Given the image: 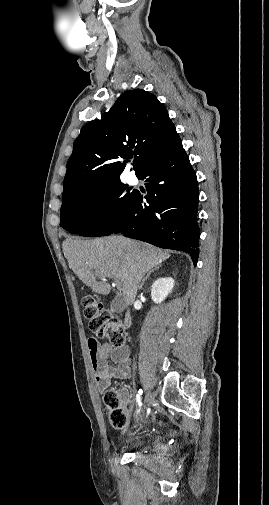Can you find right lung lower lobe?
I'll return each mask as SVG.
<instances>
[{
  "mask_svg": "<svg viewBox=\"0 0 269 505\" xmlns=\"http://www.w3.org/2000/svg\"><path fill=\"white\" fill-rule=\"evenodd\" d=\"M146 180L147 204L136 192L120 225L111 233L189 253L197 264L198 182L180 142L146 165L137 176Z\"/></svg>",
  "mask_w": 269,
  "mask_h": 505,
  "instance_id": "obj_1",
  "label": "right lung lower lobe"
}]
</instances>
